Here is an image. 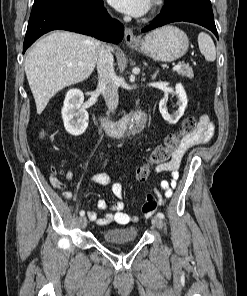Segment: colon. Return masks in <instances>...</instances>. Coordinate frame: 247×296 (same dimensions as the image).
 Segmentation results:
<instances>
[{"label": "colon", "instance_id": "obj_1", "mask_svg": "<svg viewBox=\"0 0 247 296\" xmlns=\"http://www.w3.org/2000/svg\"><path fill=\"white\" fill-rule=\"evenodd\" d=\"M196 127L197 121L195 117H187L183 121L181 128L178 131L169 134L162 144L156 146L148 161L137 169V181H146L152 167L167 162L170 159L171 154L177 150L180 141L184 137L193 134L196 131Z\"/></svg>", "mask_w": 247, "mask_h": 296}]
</instances>
